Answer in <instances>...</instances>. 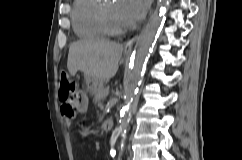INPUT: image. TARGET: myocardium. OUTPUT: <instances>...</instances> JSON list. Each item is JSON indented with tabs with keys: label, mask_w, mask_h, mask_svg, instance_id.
Listing matches in <instances>:
<instances>
[{
	"label": "myocardium",
	"mask_w": 242,
	"mask_h": 160,
	"mask_svg": "<svg viewBox=\"0 0 242 160\" xmlns=\"http://www.w3.org/2000/svg\"><path fill=\"white\" fill-rule=\"evenodd\" d=\"M97 21L103 34L107 36H111V37L120 36L124 34L128 29L127 26L120 29L112 27L106 19L102 4H99L97 7Z\"/></svg>",
	"instance_id": "myocardium-1"
}]
</instances>
